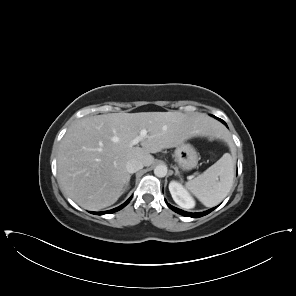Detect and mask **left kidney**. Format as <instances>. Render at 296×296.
Listing matches in <instances>:
<instances>
[{
    "label": "left kidney",
    "mask_w": 296,
    "mask_h": 296,
    "mask_svg": "<svg viewBox=\"0 0 296 296\" xmlns=\"http://www.w3.org/2000/svg\"><path fill=\"white\" fill-rule=\"evenodd\" d=\"M169 191L177 205L184 209H191L195 206V201L184 186L178 181L169 183Z\"/></svg>",
    "instance_id": "5707ae66"
}]
</instances>
